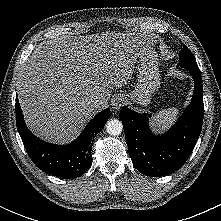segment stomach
<instances>
[{"label":"stomach","instance_id":"stomach-1","mask_svg":"<svg viewBox=\"0 0 221 221\" xmlns=\"http://www.w3.org/2000/svg\"><path fill=\"white\" fill-rule=\"evenodd\" d=\"M139 63L137 84L134 90L126 96L146 106L151 101V95L160 87L158 56L155 51H151L140 56Z\"/></svg>","mask_w":221,"mask_h":221}]
</instances>
